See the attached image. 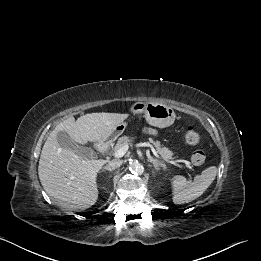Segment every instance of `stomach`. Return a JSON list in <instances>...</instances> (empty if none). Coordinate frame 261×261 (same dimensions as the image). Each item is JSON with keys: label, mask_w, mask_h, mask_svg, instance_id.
<instances>
[{"label": "stomach", "mask_w": 261, "mask_h": 261, "mask_svg": "<svg viewBox=\"0 0 261 261\" xmlns=\"http://www.w3.org/2000/svg\"><path fill=\"white\" fill-rule=\"evenodd\" d=\"M131 112L133 114H143L149 125L159 128L172 125L176 117L174 110L170 106L161 103L136 102L131 106ZM125 127L126 123L124 122L118 124L107 140H115L123 133Z\"/></svg>", "instance_id": "0dacf381"}]
</instances>
